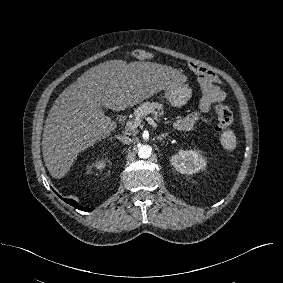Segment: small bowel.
Listing matches in <instances>:
<instances>
[{"instance_id":"obj_1","label":"small bowel","mask_w":283,"mask_h":283,"mask_svg":"<svg viewBox=\"0 0 283 283\" xmlns=\"http://www.w3.org/2000/svg\"><path fill=\"white\" fill-rule=\"evenodd\" d=\"M190 69L199 79L203 96L198 112L175 119L174 124L176 128L181 130L188 129L198 123L202 116L209 111L212 103L221 102L225 99L224 92L218 86V77L213 71L195 63L190 64Z\"/></svg>"}]
</instances>
